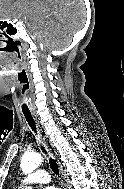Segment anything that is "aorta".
I'll return each instance as SVG.
<instances>
[{
    "label": "aorta",
    "mask_w": 124,
    "mask_h": 189,
    "mask_svg": "<svg viewBox=\"0 0 124 189\" xmlns=\"http://www.w3.org/2000/svg\"><path fill=\"white\" fill-rule=\"evenodd\" d=\"M41 162L42 157L40 154L26 153L21 159V169L25 174L31 173L41 164Z\"/></svg>",
    "instance_id": "obj_1"
}]
</instances>
